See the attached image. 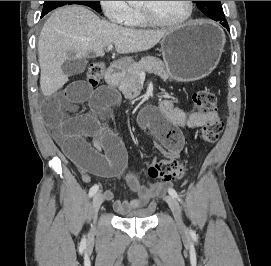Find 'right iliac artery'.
Returning <instances> with one entry per match:
<instances>
[{"instance_id": "1", "label": "right iliac artery", "mask_w": 271, "mask_h": 266, "mask_svg": "<svg viewBox=\"0 0 271 266\" xmlns=\"http://www.w3.org/2000/svg\"><path fill=\"white\" fill-rule=\"evenodd\" d=\"M99 189V185L95 184L94 186H92L89 190V197H92L96 194V192Z\"/></svg>"}]
</instances>
